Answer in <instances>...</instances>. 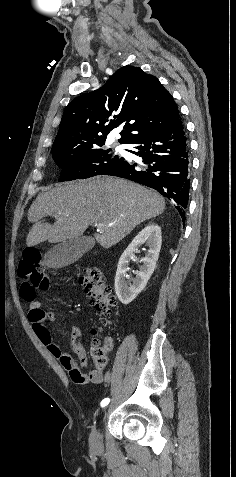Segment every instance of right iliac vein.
<instances>
[{"label":"right iliac vein","mask_w":236,"mask_h":477,"mask_svg":"<svg viewBox=\"0 0 236 477\" xmlns=\"http://www.w3.org/2000/svg\"><path fill=\"white\" fill-rule=\"evenodd\" d=\"M110 412V409L107 408V407H104L102 409V417H107ZM89 442H90V447L91 449L94 451V452H100L103 450V438H102V435L100 433V431L98 429H93L91 434H90V438H89Z\"/></svg>","instance_id":"1"}]
</instances>
